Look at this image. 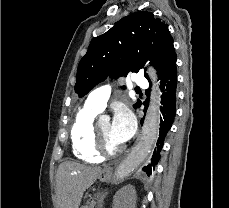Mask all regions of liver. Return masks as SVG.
Listing matches in <instances>:
<instances>
[{"instance_id":"liver-1","label":"liver","mask_w":229,"mask_h":208,"mask_svg":"<svg viewBox=\"0 0 229 208\" xmlns=\"http://www.w3.org/2000/svg\"><path fill=\"white\" fill-rule=\"evenodd\" d=\"M101 168L76 162H62L56 174V196L59 208H79L82 196L96 182Z\"/></svg>"}]
</instances>
